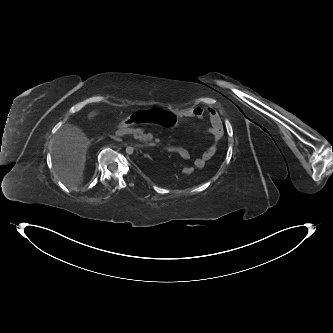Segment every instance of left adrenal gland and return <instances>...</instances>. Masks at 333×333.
<instances>
[{"label": "left adrenal gland", "mask_w": 333, "mask_h": 333, "mask_svg": "<svg viewBox=\"0 0 333 333\" xmlns=\"http://www.w3.org/2000/svg\"><path fill=\"white\" fill-rule=\"evenodd\" d=\"M144 156H145V157H150V156H149V155H147V154H146V155H144Z\"/></svg>", "instance_id": "obj_1"}]
</instances>
